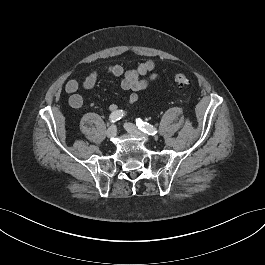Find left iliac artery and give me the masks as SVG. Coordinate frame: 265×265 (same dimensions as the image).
<instances>
[{
    "instance_id": "obj_1",
    "label": "left iliac artery",
    "mask_w": 265,
    "mask_h": 265,
    "mask_svg": "<svg viewBox=\"0 0 265 265\" xmlns=\"http://www.w3.org/2000/svg\"><path fill=\"white\" fill-rule=\"evenodd\" d=\"M136 125L141 131L147 133L148 135H155L157 133V129L155 127L147 122H143L140 118L136 119Z\"/></svg>"
}]
</instances>
